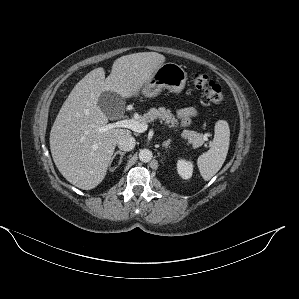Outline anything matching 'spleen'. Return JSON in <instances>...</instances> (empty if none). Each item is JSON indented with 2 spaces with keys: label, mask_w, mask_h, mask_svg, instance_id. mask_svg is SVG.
I'll list each match as a JSON object with an SVG mask.
<instances>
[{
  "label": "spleen",
  "mask_w": 299,
  "mask_h": 299,
  "mask_svg": "<svg viewBox=\"0 0 299 299\" xmlns=\"http://www.w3.org/2000/svg\"><path fill=\"white\" fill-rule=\"evenodd\" d=\"M230 141L229 125L225 120L215 124V134L210 149L199 156L197 165L205 181L210 180L225 162Z\"/></svg>",
  "instance_id": "3e777b00"
}]
</instances>
